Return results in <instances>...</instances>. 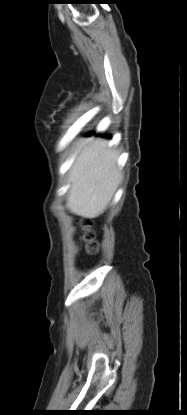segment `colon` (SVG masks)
<instances>
[{"instance_id":"obj_1","label":"colon","mask_w":187,"mask_h":415,"mask_svg":"<svg viewBox=\"0 0 187 415\" xmlns=\"http://www.w3.org/2000/svg\"><path fill=\"white\" fill-rule=\"evenodd\" d=\"M85 240L89 242L88 250L94 252L96 249V243L94 242V233L86 226Z\"/></svg>"}]
</instances>
